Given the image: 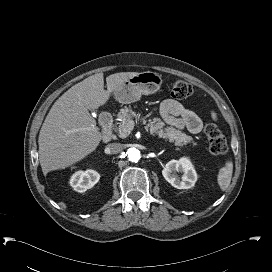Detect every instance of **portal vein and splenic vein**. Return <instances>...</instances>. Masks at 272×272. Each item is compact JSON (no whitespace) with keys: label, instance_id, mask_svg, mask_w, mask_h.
<instances>
[{"label":"portal vein and splenic vein","instance_id":"portal-vein-and-splenic-vein-1","mask_svg":"<svg viewBox=\"0 0 272 272\" xmlns=\"http://www.w3.org/2000/svg\"><path fill=\"white\" fill-rule=\"evenodd\" d=\"M134 121L133 120H130L128 123H127V128H128V130H129V132L131 131V130H133V128H134Z\"/></svg>","mask_w":272,"mask_h":272}]
</instances>
